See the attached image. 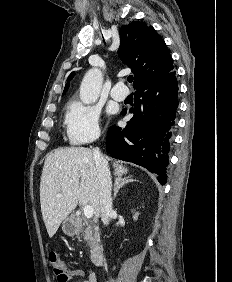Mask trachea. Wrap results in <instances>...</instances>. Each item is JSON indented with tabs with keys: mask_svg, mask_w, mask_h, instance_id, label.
<instances>
[{
	"mask_svg": "<svg viewBox=\"0 0 232 282\" xmlns=\"http://www.w3.org/2000/svg\"><path fill=\"white\" fill-rule=\"evenodd\" d=\"M127 80L131 83L133 81V76H129Z\"/></svg>",
	"mask_w": 232,
	"mask_h": 282,
	"instance_id": "obj_1",
	"label": "trachea"
}]
</instances>
